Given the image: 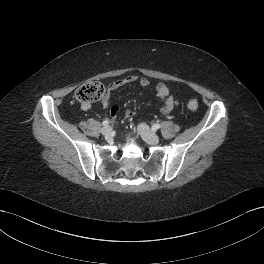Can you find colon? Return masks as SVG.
Returning a JSON list of instances; mask_svg holds the SVG:
<instances>
[{"label":"colon","instance_id":"colon-1","mask_svg":"<svg viewBox=\"0 0 264 264\" xmlns=\"http://www.w3.org/2000/svg\"><path fill=\"white\" fill-rule=\"evenodd\" d=\"M106 95L105 87L100 82H89L81 87H79L76 91V98L82 104L90 105L94 102L102 100ZM190 110L198 109V102L196 100H190L187 104Z\"/></svg>","mask_w":264,"mask_h":264}]
</instances>
